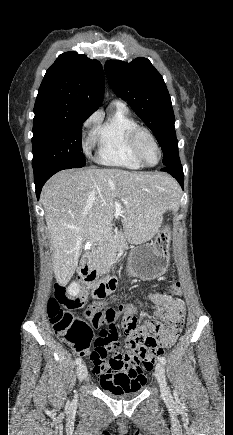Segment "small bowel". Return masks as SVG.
<instances>
[{"label": "small bowel", "mask_w": 233, "mask_h": 435, "mask_svg": "<svg viewBox=\"0 0 233 435\" xmlns=\"http://www.w3.org/2000/svg\"><path fill=\"white\" fill-rule=\"evenodd\" d=\"M117 283L114 279H111L106 289V295L114 292ZM181 283L176 282L172 285V289L176 293L181 292ZM82 297H86V293H82ZM148 301L156 313L157 316L165 318L167 320L166 330L167 333L175 338L180 332L182 327L184 317H185V304L180 299H175L174 297L158 292H150L148 294ZM66 305V304H64ZM128 309L136 311L134 305H128ZM122 309L117 313L116 318L108 323L100 332L103 340L107 341L110 345H115L118 338V333L116 330L117 318L122 313ZM144 322L149 326H162L158 321L152 318L144 319ZM124 339H126L124 337ZM124 355L120 353H114L110 360L106 363L93 364L94 373L98 376L100 384L103 388L115 389L114 378L117 375L125 374L129 377L131 384L140 385L148 373V370L144 366H135L132 369H126L121 365Z\"/></svg>", "instance_id": "obj_1"}]
</instances>
